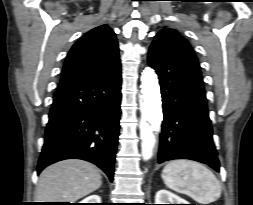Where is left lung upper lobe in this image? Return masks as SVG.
I'll return each instance as SVG.
<instances>
[{
  "label": "left lung upper lobe",
  "mask_w": 253,
  "mask_h": 205,
  "mask_svg": "<svg viewBox=\"0 0 253 205\" xmlns=\"http://www.w3.org/2000/svg\"><path fill=\"white\" fill-rule=\"evenodd\" d=\"M159 33H170L172 35H176L177 37L181 38L182 40L186 41L180 34H178L177 32H175L174 30L168 29V30H162ZM187 42V41H186ZM188 43V42H187Z\"/></svg>",
  "instance_id": "left-lung-upper-lobe-1"
}]
</instances>
